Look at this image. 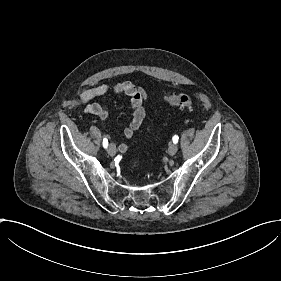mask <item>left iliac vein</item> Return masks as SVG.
I'll list each match as a JSON object with an SVG mask.
<instances>
[{
  "label": "left iliac vein",
  "instance_id": "1",
  "mask_svg": "<svg viewBox=\"0 0 281 281\" xmlns=\"http://www.w3.org/2000/svg\"><path fill=\"white\" fill-rule=\"evenodd\" d=\"M170 149L168 150V153L170 154V155H175V154H177V152H176V150H177V145L176 144H171L170 145V147H169Z\"/></svg>",
  "mask_w": 281,
  "mask_h": 281
}]
</instances>
